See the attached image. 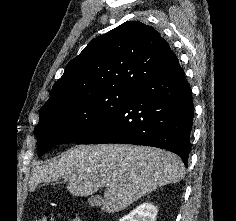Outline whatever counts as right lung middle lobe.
Returning a JSON list of instances; mask_svg holds the SVG:
<instances>
[{"label":"right lung middle lobe","instance_id":"dd1d6c3e","mask_svg":"<svg viewBox=\"0 0 236 221\" xmlns=\"http://www.w3.org/2000/svg\"><path fill=\"white\" fill-rule=\"evenodd\" d=\"M133 93L131 89H117L41 108L35 128L38 156L54 145L78 141L128 101Z\"/></svg>","mask_w":236,"mask_h":221}]
</instances>
